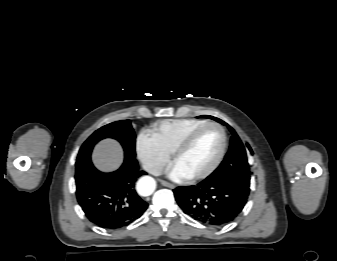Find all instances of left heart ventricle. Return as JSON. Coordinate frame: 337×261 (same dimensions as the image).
Instances as JSON below:
<instances>
[{
  "label": "left heart ventricle",
  "instance_id": "left-heart-ventricle-1",
  "mask_svg": "<svg viewBox=\"0 0 337 261\" xmlns=\"http://www.w3.org/2000/svg\"><path fill=\"white\" fill-rule=\"evenodd\" d=\"M222 144L218 129L209 127L195 138L187 151L180 156L175 165L187 176L205 170L216 158Z\"/></svg>",
  "mask_w": 337,
  "mask_h": 261
}]
</instances>
